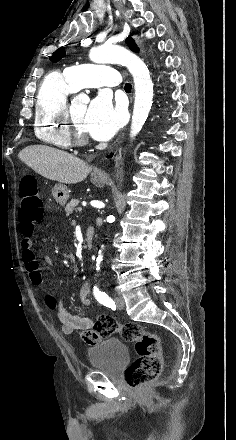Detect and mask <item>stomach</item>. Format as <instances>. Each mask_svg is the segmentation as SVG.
Segmentation results:
<instances>
[{
    "label": "stomach",
    "mask_w": 236,
    "mask_h": 440,
    "mask_svg": "<svg viewBox=\"0 0 236 440\" xmlns=\"http://www.w3.org/2000/svg\"><path fill=\"white\" fill-rule=\"evenodd\" d=\"M91 182L97 187H102L106 182V175L103 173H92ZM52 195L55 201L63 206L69 199V190L66 185L59 183L52 189Z\"/></svg>",
    "instance_id": "1"
}]
</instances>
